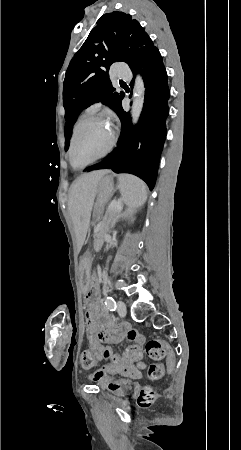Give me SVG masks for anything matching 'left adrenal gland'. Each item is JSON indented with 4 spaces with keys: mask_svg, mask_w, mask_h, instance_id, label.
Segmentation results:
<instances>
[{
    "mask_svg": "<svg viewBox=\"0 0 241 450\" xmlns=\"http://www.w3.org/2000/svg\"><path fill=\"white\" fill-rule=\"evenodd\" d=\"M120 218H126V216H124V214H118V216H117V222H118V220H120Z\"/></svg>",
    "mask_w": 241,
    "mask_h": 450,
    "instance_id": "a2214340",
    "label": "left adrenal gland"
}]
</instances>
